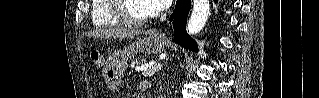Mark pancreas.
Here are the masks:
<instances>
[{"mask_svg": "<svg viewBox=\"0 0 319 98\" xmlns=\"http://www.w3.org/2000/svg\"><path fill=\"white\" fill-rule=\"evenodd\" d=\"M144 64V60L143 59H135L133 60V62L131 63V67H135V66H141Z\"/></svg>", "mask_w": 319, "mask_h": 98, "instance_id": "pancreas-1", "label": "pancreas"}]
</instances>
